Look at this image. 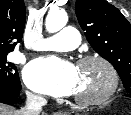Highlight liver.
Returning a JSON list of instances; mask_svg holds the SVG:
<instances>
[{"instance_id": "obj_1", "label": "liver", "mask_w": 131, "mask_h": 115, "mask_svg": "<svg viewBox=\"0 0 131 115\" xmlns=\"http://www.w3.org/2000/svg\"><path fill=\"white\" fill-rule=\"evenodd\" d=\"M0 115H18V111L9 106L0 104Z\"/></svg>"}]
</instances>
